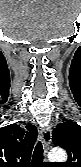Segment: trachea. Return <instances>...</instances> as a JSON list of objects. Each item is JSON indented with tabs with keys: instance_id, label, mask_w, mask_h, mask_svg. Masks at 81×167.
<instances>
[{
	"instance_id": "1",
	"label": "trachea",
	"mask_w": 81,
	"mask_h": 167,
	"mask_svg": "<svg viewBox=\"0 0 81 167\" xmlns=\"http://www.w3.org/2000/svg\"><path fill=\"white\" fill-rule=\"evenodd\" d=\"M43 161V146L42 143L39 141L34 149L32 162L39 163Z\"/></svg>"
}]
</instances>
